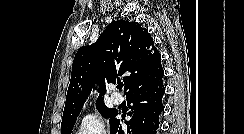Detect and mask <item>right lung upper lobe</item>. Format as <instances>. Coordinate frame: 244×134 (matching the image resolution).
<instances>
[{"label": "right lung upper lobe", "mask_w": 244, "mask_h": 134, "mask_svg": "<svg viewBox=\"0 0 244 134\" xmlns=\"http://www.w3.org/2000/svg\"><path fill=\"white\" fill-rule=\"evenodd\" d=\"M162 75L161 56L148 30L137 22L114 21L95 44L81 47L76 53L63 118L79 115L95 84L102 94L107 83L124 76L127 95ZM102 103L100 95L96 105Z\"/></svg>", "instance_id": "right-lung-upper-lobe-1"}]
</instances>
